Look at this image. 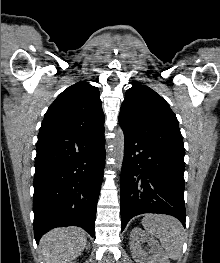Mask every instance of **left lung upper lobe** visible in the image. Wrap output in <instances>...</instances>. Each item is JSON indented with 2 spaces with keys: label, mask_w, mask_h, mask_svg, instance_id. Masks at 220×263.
I'll list each match as a JSON object with an SVG mask.
<instances>
[{
  "label": "left lung upper lobe",
  "mask_w": 220,
  "mask_h": 263,
  "mask_svg": "<svg viewBox=\"0 0 220 263\" xmlns=\"http://www.w3.org/2000/svg\"><path fill=\"white\" fill-rule=\"evenodd\" d=\"M119 123L124 131L184 157L176 115L151 88L133 83L121 105Z\"/></svg>",
  "instance_id": "1"
}]
</instances>
